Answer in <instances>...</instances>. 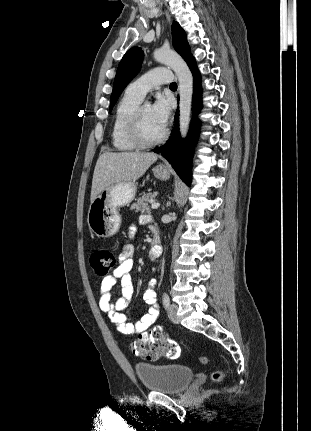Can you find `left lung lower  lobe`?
<instances>
[{
  "label": "left lung lower lobe",
  "mask_w": 311,
  "mask_h": 431,
  "mask_svg": "<svg viewBox=\"0 0 311 431\" xmlns=\"http://www.w3.org/2000/svg\"><path fill=\"white\" fill-rule=\"evenodd\" d=\"M194 77V94H193V120L190 128L189 135L186 140H182L179 134L178 117L179 110L175 115V127L172 130V136L165 145L160 148L153 149L156 153L166 158L172 167L175 169L180 178L190 185L191 181V155L194 143L197 138L199 122L196 115L201 108V86H200V73L197 69L195 59L192 57L187 63Z\"/></svg>",
  "instance_id": "1"
}]
</instances>
